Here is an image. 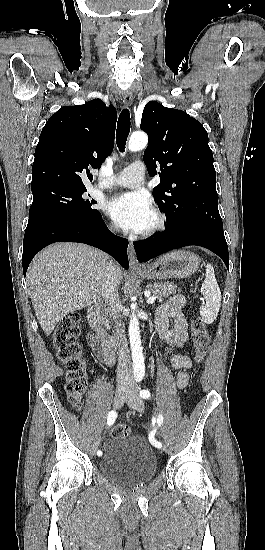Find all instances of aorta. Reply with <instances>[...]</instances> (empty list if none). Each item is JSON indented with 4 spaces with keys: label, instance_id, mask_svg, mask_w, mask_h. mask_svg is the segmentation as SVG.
Masks as SVG:
<instances>
[{
    "label": "aorta",
    "instance_id": "762f6f07",
    "mask_svg": "<svg viewBox=\"0 0 265 550\" xmlns=\"http://www.w3.org/2000/svg\"><path fill=\"white\" fill-rule=\"evenodd\" d=\"M148 137L143 132L133 133L129 139L128 149L130 151H139L146 147ZM129 340L132 352L134 372L143 376L145 373L144 356L142 352L139 320L136 315H132L129 322Z\"/></svg>",
    "mask_w": 265,
    "mask_h": 550
}]
</instances>
